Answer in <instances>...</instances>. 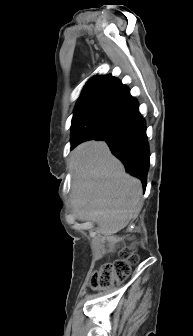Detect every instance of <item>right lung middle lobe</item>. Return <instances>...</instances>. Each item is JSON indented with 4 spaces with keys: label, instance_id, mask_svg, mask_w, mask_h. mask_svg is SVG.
<instances>
[{
    "label": "right lung middle lobe",
    "instance_id": "obj_1",
    "mask_svg": "<svg viewBox=\"0 0 193 336\" xmlns=\"http://www.w3.org/2000/svg\"><path fill=\"white\" fill-rule=\"evenodd\" d=\"M114 108L104 110L100 115L92 120L81 121L79 125L71 127V136L80 135L85 139H93L104 128L108 118L110 117Z\"/></svg>",
    "mask_w": 193,
    "mask_h": 336
}]
</instances>
